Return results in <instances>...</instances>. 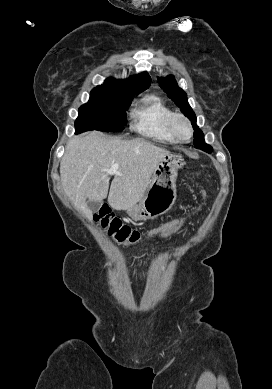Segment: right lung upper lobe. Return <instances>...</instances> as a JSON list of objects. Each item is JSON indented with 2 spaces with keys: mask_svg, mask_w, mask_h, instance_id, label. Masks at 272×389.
<instances>
[{
  "mask_svg": "<svg viewBox=\"0 0 272 389\" xmlns=\"http://www.w3.org/2000/svg\"><path fill=\"white\" fill-rule=\"evenodd\" d=\"M150 82V76L146 72H143L125 80L108 78L105 80L104 84L95 87L94 90L114 91L123 94H139L148 88Z\"/></svg>",
  "mask_w": 272,
  "mask_h": 389,
  "instance_id": "1",
  "label": "right lung upper lobe"
}]
</instances>
